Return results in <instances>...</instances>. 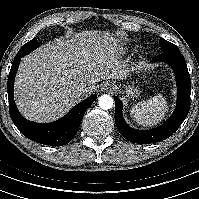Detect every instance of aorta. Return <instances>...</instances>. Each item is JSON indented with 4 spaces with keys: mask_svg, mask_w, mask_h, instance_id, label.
Masks as SVG:
<instances>
[{
    "mask_svg": "<svg viewBox=\"0 0 199 199\" xmlns=\"http://www.w3.org/2000/svg\"><path fill=\"white\" fill-rule=\"evenodd\" d=\"M114 100L110 95H101L98 99V105L103 110H108L113 107Z\"/></svg>",
    "mask_w": 199,
    "mask_h": 199,
    "instance_id": "1",
    "label": "aorta"
}]
</instances>
